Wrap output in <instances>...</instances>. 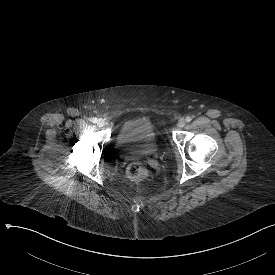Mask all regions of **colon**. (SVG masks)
<instances>
[{
	"label": "colon",
	"instance_id": "5ec220e1",
	"mask_svg": "<svg viewBox=\"0 0 275 275\" xmlns=\"http://www.w3.org/2000/svg\"><path fill=\"white\" fill-rule=\"evenodd\" d=\"M127 177L136 182H146L150 179L149 170L140 164L132 163L127 167Z\"/></svg>",
	"mask_w": 275,
	"mask_h": 275
}]
</instances>
